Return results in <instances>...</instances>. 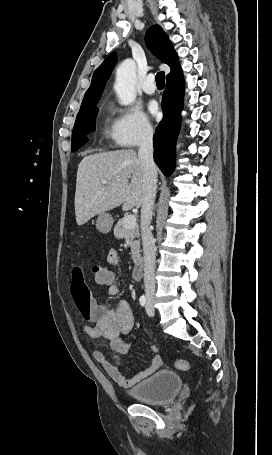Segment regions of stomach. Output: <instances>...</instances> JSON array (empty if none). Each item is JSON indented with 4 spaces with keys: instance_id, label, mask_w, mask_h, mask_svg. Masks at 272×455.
<instances>
[{
    "instance_id": "obj_1",
    "label": "stomach",
    "mask_w": 272,
    "mask_h": 455,
    "mask_svg": "<svg viewBox=\"0 0 272 455\" xmlns=\"http://www.w3.org/2000/svg\"><path fill=\"white\" fill-rule=\"evenodd\" d=\"M113 225V219L109 213H101L97 218V229L103 234H107L111 231Z\"/></svg>"
}]
</instances>
